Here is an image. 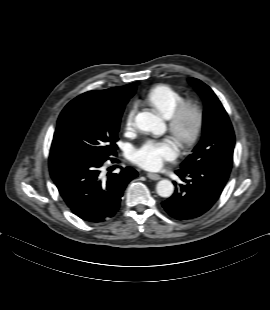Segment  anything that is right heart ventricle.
Listing matches in <instances>:
<instances>
[{"label":"right heart ventricle","instance_id":"obj_1","mask_svg":"<svg viewBox=\"0 0 270 310\" xmlns=\"http://www.w3.org/2000/svg\"><path fill=\"white\" fill-rule=\"evenodd\" d=\"M146 100L165 118H169L184 102L183 96L177 90L164 84L153 87L147 93Z\"/></svg>","mask_w":270,"mask_h":310}]
</instances>
